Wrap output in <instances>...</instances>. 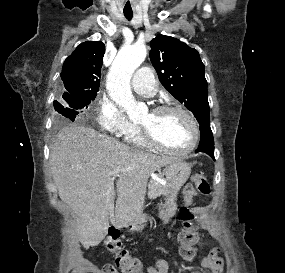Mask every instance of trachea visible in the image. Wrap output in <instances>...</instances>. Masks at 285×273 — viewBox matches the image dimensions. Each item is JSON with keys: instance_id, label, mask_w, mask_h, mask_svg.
<instances>
[{"instance_id": "obj_1", "label": "trachea", "mask_w": 285, "mask_h": 273, "mask_svg": "<svg viewBox=\"0 0 285 273\" xmlns=\"http://www.w3.org/2000/svg\"><path fill=\"white\" fill-rule=\"evenodd\" d=\"M124 16L128 19L131 20L133 17V13L132 12H124Z\"/></svg>"}]
</instances>
